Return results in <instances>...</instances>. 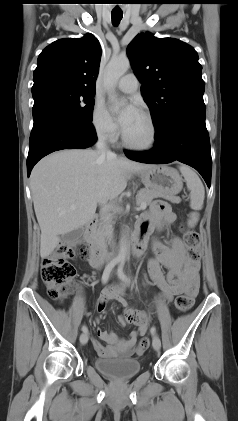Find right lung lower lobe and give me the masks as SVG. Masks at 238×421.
Wrapping results in <instances>:
<instances>
[{
	"mask_svg": "<svg viewBox=\"0 0 238 421\" xmlns=\"http://www.w3.org/2000/svg\"><path fill=\"white\" fill-rule=\"evenodd\" d=\"M33 119L27 158L28 177L34 165L44 156L62 149L87 148L97 138L92 124L80 122L52 105L33 109Z\"/></svg>",
	"mask_w": 238,
	"mask_h": 421,
	"instance_id": "right-lung-lower-lobe-1",
	"label": "right lung lower lobe"
}]
</instances>
